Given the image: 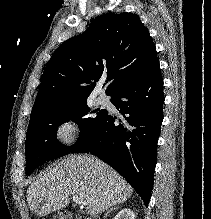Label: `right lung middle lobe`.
Returning <instances> with one entry per match:
<instances>
[{"label": "right lung middle lobe", "instance_id": "right-lung-middle-lobe-1", "mask_svg": "<svg viewBox=\"0 0 211 219\" xmlns=\"http://www.w3.org/2000/svg\"><path fill=\"white\" fill-rule=\"evenodd\" d=\"M82 99L48 114L30 119L26 135V174L30 175L35 168L46 161L70 153L73 146H64L56 139L57 128L66 121H75L81 130L77 142L87 136L105 115V109H96L91 113H97L95 118H83L90 113V108Z\"/></svg>", "mask_w": 211, "mask_h": 219}]
</instances>
